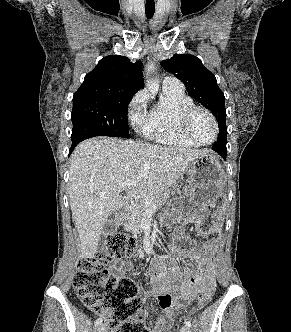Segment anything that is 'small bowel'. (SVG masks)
<instances>
[{
    "label": "small bowel",
    "instance_id": "obj_1",
    "mask_svg": "<svg viewBox=\"0 0 291 332\" xmlns=\"http://www.w3.org/2000/svg\"><path fill=\"white\" fill-rule=\"evenodd\" d=\"M195 229L198 235L206 236L201 218L195 220ZM209 229L212 233H218L221 229L220 222H214ZM185 245L190 246V241L185 233L184 223L179 222L173 233L170 255H154L150 247L146 248L147 252L153 254V258L148 268L151 289L144 293L143 298H156L162 309V314L155 319L150 332H169L175 310L185 307L189 301L215 285L213 266L208 257L214 240L196 248H186ZM177 257L194 260L198 272L190 273L182 268L175 260ZM114 269L119 274H125L131 269V265L128 262H117Z\"/></svg>",
    "mask_w": 291,
    "mask_h": 332
}]
</instances>
